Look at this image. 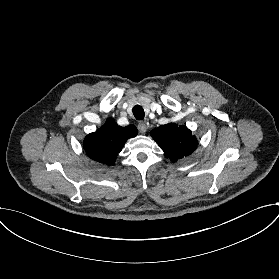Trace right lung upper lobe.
I'll return each mask as SVG.
<instances>
[{
    "label": "right lung upper lobe",
    "instance_id": "1",
    "mask_svg": "<svg viewBox=\"0 0 279 279\" xmlns=\"http://www.w3.org/2000/svg\"><path fill=\"white\" fill-rule=\"evenodd\" d=\"M137 133L138 130L134 125L120 127L109 118L96 132L86 136L84 149L89 158L110 165L115 162L125 142Z\"/></svg>",
    "mask_w": 279,
    "mask_h": 279
}]
</instances>
